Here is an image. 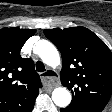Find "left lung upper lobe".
<instances>
[{"label":"left lung upper lobe","instance_id":"left-lung-upper-lobe-1","mask_svg":"<svg viewBox=\"0 0 112 112\" xmlns=\"http://www.w3.org/2000/svg\"><path fill=\"white\" fill-rule=\"evenodd\" d=\"M62 55L61 82L72 92L70 106L103 110L112 95V53L85 27L45 29Z\"/></svg>","mask_w":112,"mask_h":112}]
</instances>
